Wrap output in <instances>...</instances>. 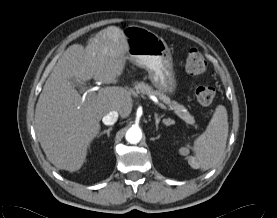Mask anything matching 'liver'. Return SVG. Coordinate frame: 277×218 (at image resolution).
Instances as JSON below:
<instances>
[{"mask_svg": "<svg viewBox=\"0 0 277 218\" xmlns=\"http://www.w3.org/2000/svg\"><path fill=\"white\" fill-rule=\"evenodd\" d=\"M127 52L123 30L109 26L90 38L86 47L69 46L46 80L35 109V131L47 159L58 169L79 170L102 117L117 111L126 118L133 106L131 93L119 86L100 88L95 98L83 100L69 79L117 83Z\"/></svg>", "mask_w": 277, "mask_h": 218, "instance_id": "obj_1", "label": "liver"}]
</instances>
